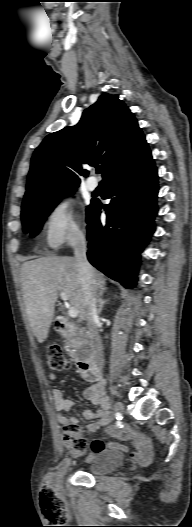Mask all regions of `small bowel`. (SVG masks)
Wrapping results in <instances>:
<instances>
[{
	"mask_svg": "<svg viewBox=\"0 0 192 527\" xmlns=\"http://www.w3.org/2000/svg\"><path fill=\"white\" fill-rule=\"evenodd\" d=\"M50 382L53 383L56 380V376L51 374ZM53 401L56 409V420L61 426H65L69 423H76L77 420L74 417L67 415L66 413L70 411L75 402L73 399L64 397L63 393L54 388L52 390ZM85 399L92 402L96 407V410H85L83 416L87 420H92L93 422L86 426V431L89 433H94L102 426H107L110 422V414L108 410V401L105 397L104 388L102 383H97L86 388L83 392ZM108 433L121 439L130 441L134 447L135 451L132 452V457L140 463L141 468L146 469L149 466L148 461L152 458L153 450L152 445L148 438L135 432L131 427L124 425L123 430H118L117 426L110 427ZM115 448H122L120 445L112 444L110 445ZM109 447L105 442L101 440H95L92 442L91 450L93 452L105 450Z\"/></svg>",
	"mask_w": 192,
	"mask_h": 527,
	"instance_id": "small-bowel-1",
	"label": "small bowel"
}]
</instances>
